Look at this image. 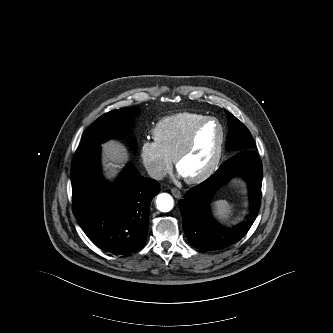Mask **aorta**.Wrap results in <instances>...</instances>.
<instances>
[{"instance_id": "1", "label": "aorta", "mask_w": 333, "mask_h": 333, "mask_svg": "<svg viewBox=\"0 0 333 333\" xmlns=\"http://www.w3.org/2000/svg\"><path fill=\"white\" fill-rule=\"evenodd\" d=\"M157 209L161 212H169L174 206V200L171 195L167 193H161L156 199Z\"/></svg>"}]
</instances>
